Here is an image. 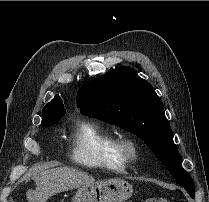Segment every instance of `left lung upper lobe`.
<instances>
[{
    "label": "left lung upper lobe",
    "mask_w": 209,
    "mask_h": 202,
    "mask_svg": "<svg viewBox=\"0 0 209 202\" xmlns=\"http://www.w3.org/2000/svg\"><path fill=\"white\" fill-rule=\"evenodd\" d=\"M81 113L115 124L145 141L192 198L195 187L182 168L161 99L153 87L129 66H121L85 83L78 91Z\"/></svg>",
    "instance_id": "left-lung-upper-lobe-1"
}]
</instances>
